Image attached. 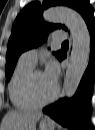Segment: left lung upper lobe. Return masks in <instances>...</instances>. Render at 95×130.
<instances>
[{
  "label": "left lung upper lobe",
  "instance_id": "1",
  "mask_svg": "<svg viewBox=\"0 0 95 130\" xmlns=\"http://www.w3.org/2000/svg\"><path fill=\"white\" fill-rule=\"evenodd\" d=\"M55 5L71 7L77 10L83 18L93 11L87 0H43L42 5L39 2L27 5L17 16L8 42L5 68L7 81L10 80L22 52L42 44L50 30L66 29L60 24H46L42 19L43 9ZM59 53L60 51L56 52L55 56L57 57Z\"/></svg>",
  "mask_w": 95,
  "mask_h": 130
}]
</instances>
